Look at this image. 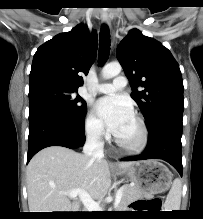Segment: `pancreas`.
Returning <instances> with one entry per match:
<instances>
[{
    "instance_id": "cf45deb5",
    "label": "pancreas",
    "mask_w": 203,
    "mask_h": 219,
    "mask_svg": "<svg viewBox=\"0 0 203 219\" xmlns=\"http://www.w3.org/2000/svg\"><path fill=\"white\" fill-rule=\"evenodd\" d=\"M121 190L122 198L118 205L119 209H125L133 200L143 196V192L136 186L124 185Z\"/></svg>"
}]
</instances>
